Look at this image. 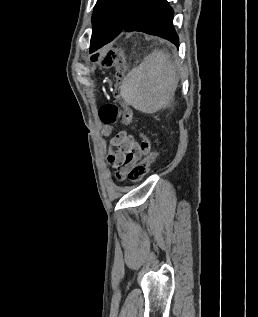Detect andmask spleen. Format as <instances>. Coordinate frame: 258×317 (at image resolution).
<instances>
[{
    "label": "spleen",
    "mask_w": 258,
    "mask_h": 317,
    "mask_svg": "<svg viewBox=\"0 0 258 317\" xmlns=\"http://www.w3.org/2000/svg\"><path fill=\"white\" fill-rule=\"evenodd\" d=\"M178 78L169 54L154 50L132 68L121 84V96L141 112H157L171 104Z\"/></svg>",
    "instance_id": "obj_1"
}]
</instances>
